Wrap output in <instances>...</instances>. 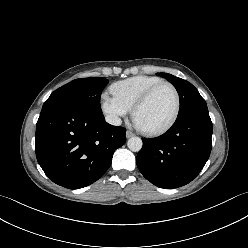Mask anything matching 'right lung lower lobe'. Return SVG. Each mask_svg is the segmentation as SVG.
<instances>
[{
	"label": "right lung lower lobe",
	"mask_w": 248,
	"mask_h": 248,
	"mask_svg": "<svg viewBox=\"0 0 248 248\" xmlns=\"http://www.w3.org/2000/svg\"><path fill=\"white\" fill-rule=\"evenodd\" d=\"M126 129L112 126L102 113L74 104L42 108L36 125V157L54 183L86 187L110 167L114 151L126 142Z\"/></svg>",
	"instance_id": "obj_1"
}]
</instances>
